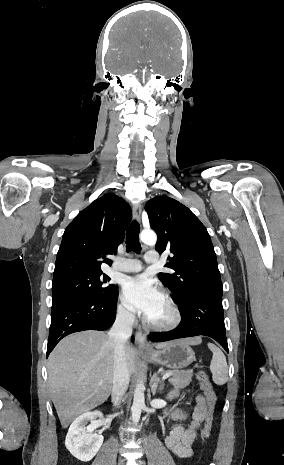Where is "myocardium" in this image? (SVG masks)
I'll list each match as a JSON object with an SVG mask.
<instances>
[{
	"label": "myocardium",
	"instance_id": "obj_1",
	"mask_svg": "<svg viewBox=\"0 0 284 465\" xmlns=\"http://www.w3.org/2000/svg\"><path fill=\"white\" fill-rule=\"evenodd\" d=\"M163 300L171 313L170 321L166 323H155L152 322L150 319L145 318V323L150 329L156 332L166 333L171 332L178 327V325L181 322V313L176 303L170 296L163 295Z\"/></svg>",
	"mask_w": 284,
	"mask_h": 465
}]
</instances>
